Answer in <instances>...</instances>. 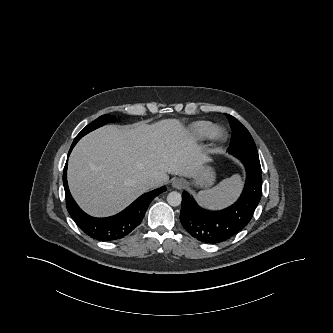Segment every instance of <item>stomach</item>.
I'll return each mask as SVG.
<instances>
[{
  "instance_id": "stomach-1",
  "label": "stomach",
  "mask_w": 333,
  "mask_h": 333,
  "mask_svg": "<svg viewBox=\"0 0 333 333\" xmlns=\"http://www.w3.org/2000/svg\"><path fill=\"white\" fill-rule=\"evenodd\" d=\"M197 187L208 188L215 181V173L213 169L207 165H203L197 177L193 178Z\"/></svg>"
}]
</instances>
